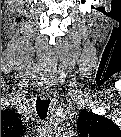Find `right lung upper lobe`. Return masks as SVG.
Wrapping results in <instances>:
<instances>
[{
  "label": "right lung upper lobe",
  "instance_id": "right-lung-upper-lobe-1",
  "mask_svg": "<svg viewBox=\"0 0 121 137\" xmlns=\"http://www.w3.org/2000/svg\"><path fill=\"white\" fill-rule=\"evenodd\" d=\"M23 126L17 113L12 110L1 112V135H19Z\"/></svg>",
  "mask_w": 121,
  "mask_h": 137
}]
</instances>
